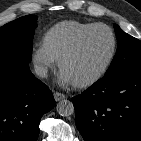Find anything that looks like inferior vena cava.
<instances>
[{
	"instance_id": "1",
	"label": "inferior vena cava",
	"mask_w": 141,
	"mask_h": 141,
	"mask_svg": "<svg viewBox=\"0 0 141 141\" xmlns=\"http://www.w3.org/2000/svg\"><path fill=\"white\" fill-rule=\"evenodd\" d=\"M48 68L44 65H35V73L42 78L47 77Z\"/></svg>"
}]
</instances>
